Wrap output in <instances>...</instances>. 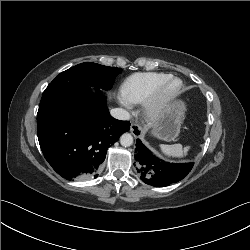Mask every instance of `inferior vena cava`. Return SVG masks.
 I'll return each instance as SVG.
<instances>
[{
    "instance_id": "inferior-vena-cava-1",
    "label": "inferior vena cava",
    "mask_w": 250,
    "mask_h": 250,
    "mask_svg": "<svg viewBox=\"0 0 250 250\" xmlns=\"http://www.w3.org/2000/svg\"><path fill=\"white\" fill-rule=\"evenodd\" d=\"M110 114L112 117H114L118 120H129L130 119V114L122 108L111 109Z\"/></svg>"
}]
</instances>
